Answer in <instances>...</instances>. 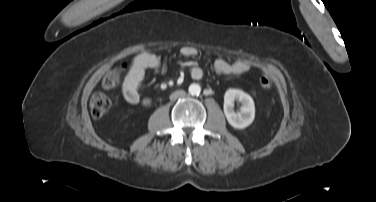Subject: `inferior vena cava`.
Wrapping results in <instances>:
<instances>
[{
    "mask_svg": "<svg viewBox=\"0 0 376 202\" xmlns=\"http://www.w3.org/2000/svg\"><path fill=\"white\" fill-rule=\"evenodd\" d=\"M184 95H185V92H183V91H181V92H176L175 94H173V95L171 96V99L174 100V99H176V98H178V97H181V96H184Z\"/></svg>",
    "mask_w": 376,
    "mask_h": 202,
    "instance_id": "602c4592",
    "label": "inferior vena cava"
}]
</instances>
